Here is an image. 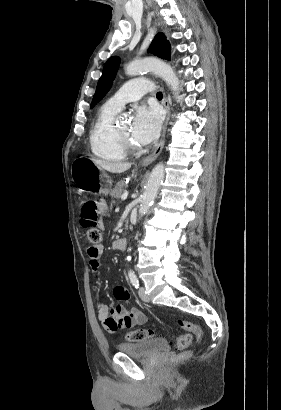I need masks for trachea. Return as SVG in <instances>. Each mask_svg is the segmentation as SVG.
<instances>
[{"instance_id": "1", "label": "trachea", "mask_w": 281, "mask_h": 410, "mask_svg": "<svg viewBox=\"0 0 281 410\" xmlns=\"http://www.w3.org/2000/svg\"><path fill=\"white\" fill-rule=\"evenodd\" d=\"M156 97H157V98H162V92H158V93L156 94Z\"/></svg>"}]
</instances>
